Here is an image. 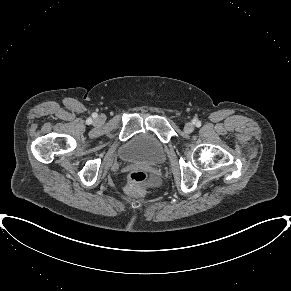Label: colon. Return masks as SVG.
<instances>
[{
    "instance_id": "obj_1",
    "label": "colon",
    "mask_w": 291,
    "mask_h": 291,
    "mask_svg": "<svg viewBox=\"0 0 291 291\" xmlns=\"http://www.w3.org/2000/svg\"><path fill=\"white\" fill-rule=\"evenodd\" d=\"M147 174L141 170H134L128 174L126 191L134 197H141L144 195V184L147 181Z\"/></svg>"
}]
</instances>
